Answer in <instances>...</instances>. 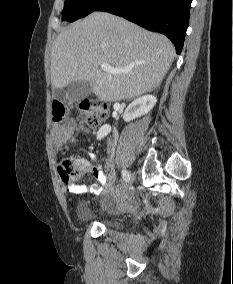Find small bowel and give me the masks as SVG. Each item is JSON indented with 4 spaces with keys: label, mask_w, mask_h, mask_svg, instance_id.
<instances>
[{
    "label": "small bowel",
    "mask_w": 233,
    "mask_h": 284,
    "mask_svg": "<svg viewBox=\"0 0 233 284\" xmlns=\"http://www.w3.org/2000/svg\"><path fill=\"white\" fill-rule=\"evenodd\" d=\"M71 134V130L68 127H58L56 129V136L60 143L66 142ZM80 174L92 173L97 179V184L86 187L84 185L64 184L66 191L75 194H81L85 192H92L94 194H100L104 188L111 189L114 186L115 177L113 173L106 175L100 166L96 165L99 162V157L93 151H89V160L84 158L73 159ZM124 205V202L120 198L107 199L105 201V207L107 209L120 208Z\"/></svg>",
    "instance_id": "obj_1"
}]
</instances>
